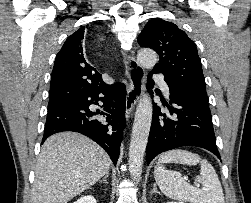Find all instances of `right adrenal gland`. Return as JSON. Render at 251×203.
<instances>
[{
  "instance_id": "obj_1",
  "label": "right adrenal gland",
  "mask_w": 251,
  "mask_h": 203,
  "mask_svg": "<svg viewBox=\"0 0 251 203\" xmlns=\"http://www.w3.org/2000/svg\"><path fill=\"white\" fill-rule=\"evenodd\" d=\"M107 178H108V173L104 176V178H103V180H101V182L108 183Z\"/></svg>"
}]
</instances>
